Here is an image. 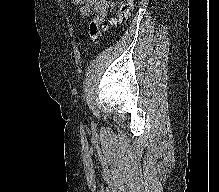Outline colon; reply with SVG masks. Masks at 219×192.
I'll list each match as a JSON object with an SVG mask.
<instances>
[{
  "instance_id": "5ec220e1",
  "label": "colon",
  "mask_w": 219,
  "mask_h": 192,
  "mask_svg": "<svg viewBox=\"0 0 219 192\" xmlns=\"http://www.w3.org/2000/svg\"><path fill=\"white\" fill-rule=\"evenodd\" d=\"M134 0H122L118 9L116 10L112 22L113 23H124L130 10L132 9ZM109 25V22L103 17H96L90 23V36L91 39L97 42L104 29Z\"/></svg>"
}]
</instances>
